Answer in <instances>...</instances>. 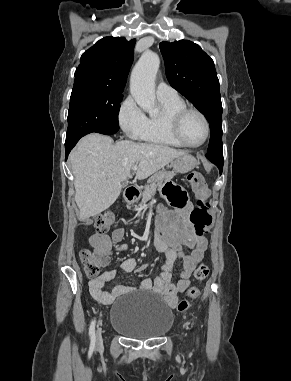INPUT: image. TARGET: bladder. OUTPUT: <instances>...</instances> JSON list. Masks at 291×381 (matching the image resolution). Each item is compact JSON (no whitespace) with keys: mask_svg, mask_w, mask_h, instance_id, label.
Masks as SVG:
<instances>
[{"mask_svg":"<svg viewBox=\"0 0 291 381\" xmlns=\"http://www.w3.org/2000/svg\"><path fill=\"white\" fill-rule=\"evenodd\" d=\"M173 323L172 309L156 296L126 294L110 309L111 328L133 339L162 337L171 330Z\"/></svg>","mask_w":291,"mask_h":381,"instance_id":"31cf9c89","label":"bladder"}]
</instances>
